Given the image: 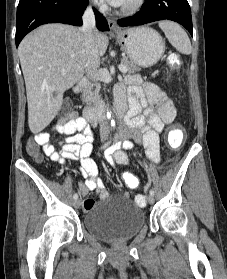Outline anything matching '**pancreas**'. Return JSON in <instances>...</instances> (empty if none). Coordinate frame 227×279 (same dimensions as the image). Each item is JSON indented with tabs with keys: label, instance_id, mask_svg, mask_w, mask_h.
<instances>
[{
	"label": "pancreas",
	"instance_id": "pancreas-1",
	"mask_svg": "<svg viewBox=\"0 0 227 279\" xmlns=\"http://www.w3.org/2000/svg\"><path fill=\"white\" fill-rule=\"evenodd\" d=\"M121 65L126 67V73H135L140 71V68L138 66L130 62L125 57L121 59ZM100 88L101 87L99 83L87 85L83 90V101L91 107L100 105L102 103Z\"/></svg>",
	"mask_w": 227,
	"mask_h": 279
}]
</instances>
